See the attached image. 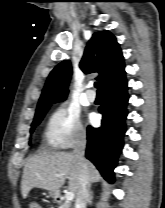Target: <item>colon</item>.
I'll return each instance as SVG.
<instances>
[{
    "instance_id": "1",
    "label": "colon",
    "mask_w": 165,
    "mask_h": 208,
    "mask_svg": "<svg viewBox=\"0 0 165 208\" xmlns=\"http://www.w3.org/2000/svg\"><path fill=\"white\" fill-rule=\"evenodd\" d=\"M29 208H42V205L39 202L33 200L30 202Z\"/></svg>"
}]
</instances>
